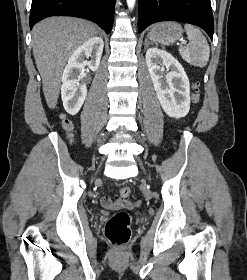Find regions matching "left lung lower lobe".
I'll return each mask as SVG.
<instances>
[{
	"instance_id": "0a47b994",
	"label": "left lung lower lobe",
	"mask_w": 247,
	"mask_h": 280,
	"mask_svg": "<svg viewBox=\"0 0 247 280\" xmlns=\"http://www.w3.org/2000/svg\"><path fill=\"white\" fill-rule=\"evenodd\" d=\"M138 31L159 21H181L204 29L212 39L214 20L210 0H138Z\"/></svg>"
}]
</instances>
